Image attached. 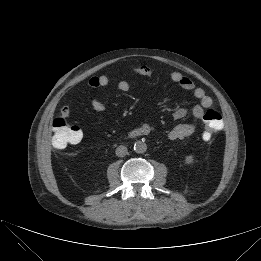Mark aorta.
I'll return each mask as SVG.
<instances>
[{"label": "aorta", "mask_w": 261, "mask_h": 261, "mask_svg": "<svg viewBox=\"0 0 261 261\" xmlns=\"http://www.w3.org/2000/svg\"><path fill=\"white\" fill-rule=\"evenodd\" d=\"M147 150V145L146 143L142 142V141H137L134 144V151L138 154H143L145 153Z\"/></svg>", "instance_id": "aorta-1"}]
</instances>
